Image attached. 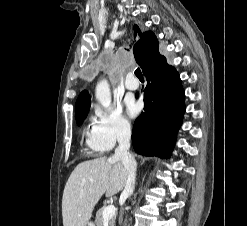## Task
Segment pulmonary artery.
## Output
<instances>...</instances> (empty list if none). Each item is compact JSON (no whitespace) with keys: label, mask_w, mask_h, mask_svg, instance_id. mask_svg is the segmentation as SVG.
I'll return each instance as SVG.
<instances>
[{"label":"pulmonary artery","mask_w":247,"mask_h":226,"mask_svg":"<svg viewBox=\"0 0 247 226\" xmlns=\"http://www.w3.org/2000/svg\"><path fill=\"white\" fill-rule=\"evenodd\" d=\"M139 87V83L132 76H128L125 81V88L129 91H134Z\"/></svg>","instance_id":"obj_1"}]
</instances>
